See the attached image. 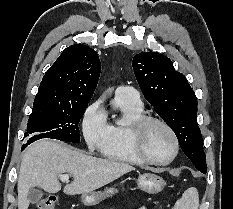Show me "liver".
<instances>
[{
	"label": "liver",
	"mask_w": 233,
	"mask_h": 209,
	"mask_svg": "<svg viewBox=\"0 0 233 209\" xmlns=\"http://www.w3.org/2000/svg\"><path fill=\"white\" fill-rule=\"evenodd\" d=\"M133 170L135 168L127 163L92 157L63 143L46 139L37 141L26 149L21 161L17 184L18 209H28L30 188L59 192L61 174L73 176V181L64 187L63 192L78 195L94 192Z\"/></svg>",
	"instance_id": "6515ba94"
}]
</instances>
